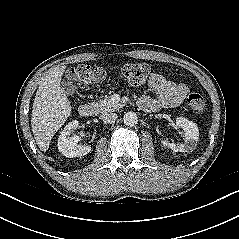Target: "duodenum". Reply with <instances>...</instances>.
<instances>
[{"label": "duodenum", "instance_id": "1", "mask_svg": "<svg viewBox=\"0 0 239 239\" xmlns=\"http://www.w3.org/2000/svg\"><path fill=\"white\" fill-rule=\"evenodd\" d=\"M94 108L91 104H82L79 109V115L84 118H88L93 114Z\"/></svg>", "mask_w": 239, "mask_h": 239}]
</instances>
